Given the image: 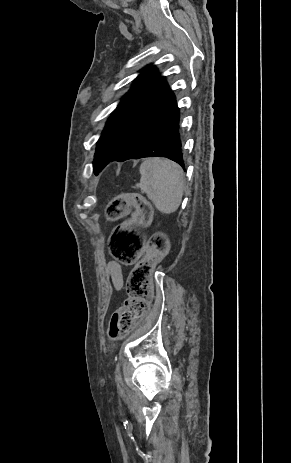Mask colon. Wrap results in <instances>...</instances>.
Here are the masks:
<instances>
[{"label":"colon","mask_w":291,"mask_h":463,"mask_svg":"<svg viewBox=\"0 0 291 463\" xmlns=\"http://www.w3.org/2000/svg\"><path fill=\"white\" fill-rule=\"evenodd\" d=\"M133 208L129 221L117 225L109 238L111 256L121 264H138L127 283L128 299L112 315L108 334L113 340L126 335L133 324L147 311L151 296L150 275L153 262L168 247L163 233L152 234L148 241L136 226L147 225L152 217L150 204L139 194L118 195L111 201L108 212L113 218L124 216Z\"/></svg>","instance_id":"1"}]
</instances>
